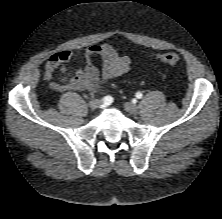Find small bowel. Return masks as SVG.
<instances>
[{"mask_svg": "<svg viewBox=\"0 0 222 219\" xmlns=\"http://www.w3.org/2000/svg\"><path fill=\"white\" fill-rule=\"evenodd\" d=\"M99 56L103 62L102 74L94 66L92 60ZM75 57L85 61L84 68L71 72L67 64ZM131 61L127 56H121L109 44L93 45L84 49L61 50L53 53L46 61L44 79L49 87L56 92L90 91L105 92L108 84L117 77L127 73ZM62 75L60 81L54 80V73Z\"/></svg>", "mask_w": 222, "mask_h": 219, "instance_id": "c3829d8e", "label": "small bowel"}]
</instances>
